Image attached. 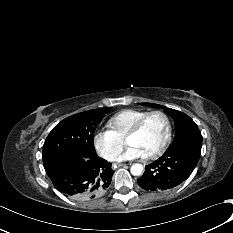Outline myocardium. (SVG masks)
I'll return each mask as SVG.
<instances>
[{
	"instance_id": "1",
	"label": "myocardium",
	"mask_w": 233,
	"mask_h": 233,
	"mask_svg": "<svg viewBox=\"0 0 233 233\" xmlns=\"http://www.w3.org/2000/svg\"><path fill=\"white\" fill-rule=\"evenodd\" d=\"M155 114L161 115L164 118V120L166 122V135H165L164 140L162 141V143L160 144V146L158 148H156L153 152L145 155V157L149 158V159L154 158V157L158 156L159 154H161L165 150V148L167 147L168 143L170 142L171 135H172V125H171L170 117L166 112H164L162 110H153V111L147 112L146 114H144L141 118H139L134 123V125L127 131V133L124 136V141H125V143H127L128 138L137 134L141 130L144 122L150 116L155 115Z\"/></svg>"
}]
</instances>
